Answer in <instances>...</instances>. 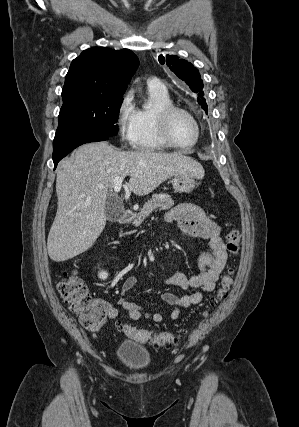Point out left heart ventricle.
Instances as JSON below:
<instances>
[{
  "mask_svg": "<svg viewBox=\"0 0 299 427\" xmlns=\"http://www.w3.org/2000/svg\"><path fill=\"white\" fill-rule=\"evenodd\" d=\"M169 132L173 141L181 145L191 144L196 136V128L192 119L179 112L171 116Z\"/></svg>",
  "mask_w": 299,
  "mask_h": 427,
  "instance_id": "1",
  "label": "left heart ventricle"
}]
</instances>
